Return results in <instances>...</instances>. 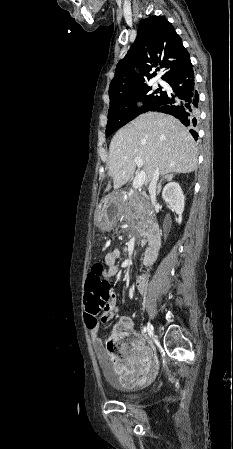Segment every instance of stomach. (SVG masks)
Listing matches in <instances>:
<instances>
[{"instance_id":"1","label":"stomach","mask_w":233,"mask_h":449,"mask_svg":"<svg viewBox=\"0 0 233 449\" xmlns=\"http://www.w3.org/2000/svg\"><path fill=\"white\" fill-rule=\"evenodd\" d=\"M106 208L101 206L97 212V223L104 228L112 227L121 217L123 203L118 196L112 197L108 202Z\"/></svg>"}]
</instances>
